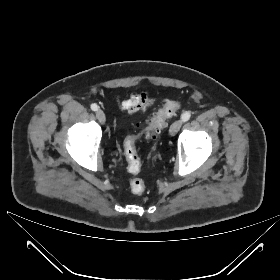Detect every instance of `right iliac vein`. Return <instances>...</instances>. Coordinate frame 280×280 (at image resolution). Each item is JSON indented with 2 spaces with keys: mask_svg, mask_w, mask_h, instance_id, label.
<instances>
[{
  "mask_svg": "<svg viewBox=\"0 0 280 280\" xmlns=\"http://www.w3.org/2000/svg\"><path fill=\"white\" fill-rule=\"evenodd\" d=\"M96 117L101 124L105 123L106 117H105V114L102 110L99 109V110L96 111Z\"/></svg>",
  "mask_w": 280,
  "mask_h": 280,
  "instance_id": "right-iliac-vein-1",
  "label": "right iliac vein"
}]
</instances>
